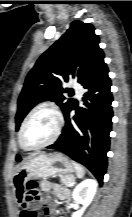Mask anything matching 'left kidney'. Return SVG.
<instances>
[{
    "mask_svg": "<svg viewBox=\"0 0 132 217\" xmlns=\"http://www.w3.org/2000/svg\"><path fill=\"white\" fill-rule=\"evenodd\" d=\"M98 183L94 179H86L78 184L73 190V199L77 201L79 204H82V208L73 213L72 217H81L85 211V209L92 202Z\"/></svg>",
    "mask_w": 132,
    "mask_h": 217,
    "instance_id": "5707ae66",
    "label": "left kidney"
}]
</instances>
